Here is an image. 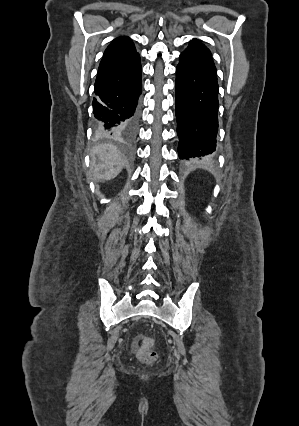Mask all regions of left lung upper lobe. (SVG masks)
<instances>
[{
  "mask_svg": "<svg viewBox=\"0 0 299 426\" xmlns=\"http://www.w3.org/2000/svg\"><path fill=\"white\" fill-rule=\"evenodd\" d=\"M186 50H188V51H204V52H207L211 55L210 50L207 47H205L203 44H201V40H198V39H193L192 41H190V44L186 48Z\"/></svg>",
  "mask_w": 299,
  "mask_h": 426,
  "instance_id": "obj_1",
  "label": "left lung upper lobe"
}]
</instances>
